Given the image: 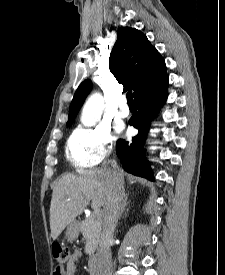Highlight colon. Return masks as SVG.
Masks as SVG:
<instances>
[{"label": "colon", "instance_id": "1", "mask_svg": "<svg viewBox=\"0 0 225 275\" xmlns=\"http://www.w3.org/2000/svg\"><path fill=\"white\" fill-rule=\"evenodd\" d=\"M52 255L54 260L59 263L60 265L65 264L68 259L70 258V252L68 248L65 246L59 244V243H54L52 245ZM64 269L62 267H58L54 273V275H60L61 272H63Z\"/></svg>", "mask_w": 225, "mask_h": 275}]
</instances>
